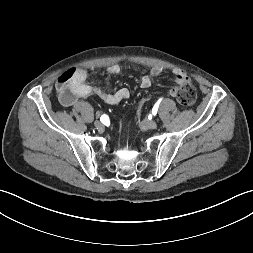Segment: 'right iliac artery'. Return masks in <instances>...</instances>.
I'll use <instances>...</instances> for the list:
<instances>
[{
  "label": "right iliac artery",
  "mask_w": 253,
  "mask_h": 253,
  "mask_svg": "<svg viewBox=\"0 0 253 253\" xmlns=\"http://www.w3.org/2000/svg\"><path fill=\"white\" fill-rule=\"evenodd\" d=\"M100 120L102 123H105L108 120V116L104 114L101 116Z\"/></svg>",
  "instance_id": "obj_1"
}]
</instances>
